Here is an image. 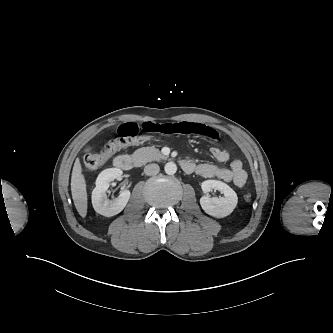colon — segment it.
<instances>
[{"mask_svg":"<svg viewBox=\"0 0 333 333\" xmlns=\"http://www.w3.org/2000/svg\"><path fill=\"white\" fill-rule=\"evenodd\" d=\"M151 139L148 135H137L134 137H118L109 141L104 148L98 153L86 155L84 159L85 166L89 170H96L104 165L114 154L120 150L132 145H139ZM245 201H251V194L244 195Z\"/></svg>","mask_w":333,"mask_h":333,"instance_id":"1","label":"colon"}]
</instances>
